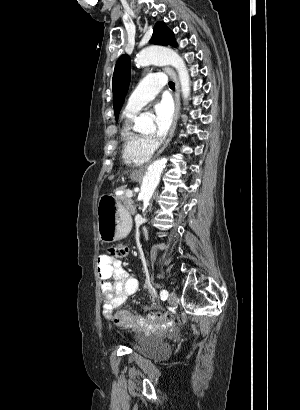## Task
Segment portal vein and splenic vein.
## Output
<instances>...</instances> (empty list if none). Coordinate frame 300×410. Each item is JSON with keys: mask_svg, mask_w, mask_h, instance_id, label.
I'll list each match as a JSON object with an SVG mask.
<instances>
[{"mask_svg": "<svg viewBox=\"0 0 300 410\" xmlns=\"http://www.w3.org/2000/svg\"><path fill=\"white\" fill-rule=\"evenodd\" d=\"M126 195L131 198L133 196V191L131 190L127 191Z\"/></svg>", "mask_w": 300, "mask_h": 410, "instance_id": "portal-vein-and-splenic-vein-1", "label": "portal vein and splenic vein"}]
</instances>
